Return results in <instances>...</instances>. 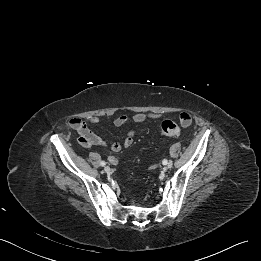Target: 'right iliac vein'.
Segmentation results:
<instances>
[{"label": "right iliac vein", "mask_w": 261, "mask_h": 261, "mask_svg": "<svg viewBox=\"0 0 261 261\" xmlns=\"http://www.w3.org/2000/svg\"><path fill=\"white\" fill-rule=\"evenodd\" d=\"M110 170H111V169H110V167H109V166H105V167H104V171H105L106 173H109V172H110Z\"/></svg>", "instance_id": "1"}]
</instances>
